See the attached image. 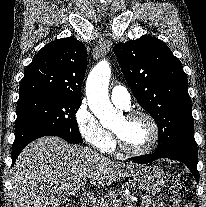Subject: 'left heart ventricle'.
Here are the masks:
<instances>
[{
    "label": "left heart ventricle",
    "mask_w": 206,
    "mask_h": 207,
    "mask_svg": "<svg viewBox=\"0 0 206 207\" xmlns=\"http://www.w3.org/2000/svg\"><path fill=\"white\" fill-rule=\"evenodd\" d=\"M124 145L131 150L146 147L151 140L152 130L147 120L137 118L126 120L122 117L114 128Z\"/></svg>",
    "instance_id": "obj_1"
}]
</instances>
